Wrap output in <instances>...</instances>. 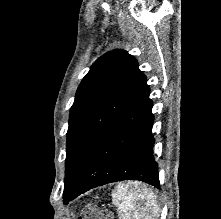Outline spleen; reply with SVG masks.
I'll return each mask as SVG.
<instances>
[{
	"label": "spleen",
	"instance_id": "spleen-1",
	"mask_svg": "<svg viewBox=\"0 0 221 219\" xmlns=\"http://www.w3.org/2000/svg\"><path fill=\"white\" fill-rule=\"evenodd\" d=\"M112 201L120 219H157L160 213L155 194L139 182L119 183Z\"/></svg>",
	"mask_w": 221,
	"mask_h": 219
}]
</instances>
